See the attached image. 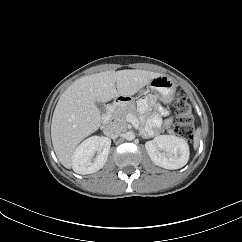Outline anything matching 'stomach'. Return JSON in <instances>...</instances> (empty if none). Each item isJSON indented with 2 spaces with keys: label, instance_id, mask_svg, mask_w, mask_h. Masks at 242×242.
Segmentation results:
<instances>
[{
  "label": "stomach",
  "instance_id": "1",
  "mask_svg": "<svg viewBox=\"0 0 242 242\" xmlns=\"http://www.w3.org/2000/svg\"><path fill=\"white\" fill-rule=\"evenodd\" d=\"M149 87L161 96L162 101L167 103L172 100L177 83L169 76L160 75L149 83ZM118 104L125 105L126 101L119 100Z\"/></svg>",
  "mask_w": 242,
  "mask_h": 242
}]
</instances>
